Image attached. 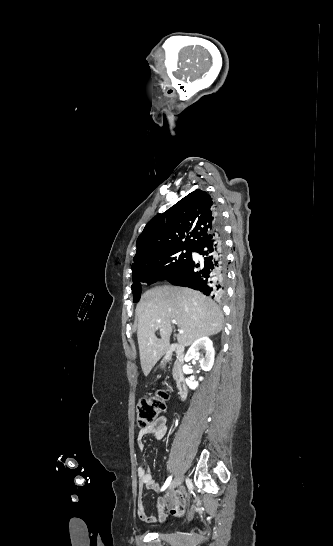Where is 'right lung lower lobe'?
<instances>
[{"label": "right lung lower lobe", "instance_id": "1", "mask_svg": "<svg viewBox=\"0 0 333 546\" xmlns=\"http://www.w3.org/2000/svg\"><path fill=\"white\" fill-rule=\"evenodd\" d=\"M224 242L221 229L216 225L208 236L193 247V252L202 255L204 260L196 262L191 256L165 280L173 285L199 290L212 298H220L225 291L227 278Z\"/></svg>", "mask_w": 333, "mask_h": 546}]
</instances>
